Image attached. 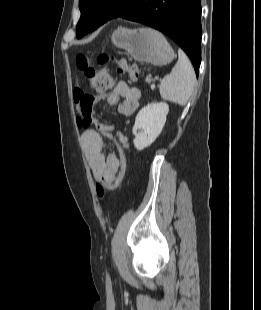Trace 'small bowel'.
<instances>
[{
    "label": "small bowel",
    "instance_id": "c3829d8e",
    "mask_svg": "<svg viewBox=\"0 0 261 310\" xmlns=\"http://www.w3.org/2000/svg\"><path fill=\"white\" fill-rule=\"evenodd\" d=\"M140 98V90L125 81L115 82L111 91L98 95L86 94L79 88L74 90V101L80 115L79 124L86 128L82 134V144L93 175L99 182L113 181L121 166L118 154L105 156L103 153L105 140L126 147L127 138L121 132L112 134V125L96 120L94 108L99 103L106 102L117 106L121 114L129 116L139 108Z\"/></svg>",
    "mask_w": 261,
    "mask_h": 310
}]
</instances>
